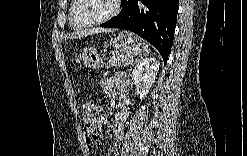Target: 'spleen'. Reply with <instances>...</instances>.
<instances>
[{
  "instance_id": "1",
  "label": "spleen",
  "mask_w": 247,
  "mask_h": 156,
  "mask_svg": "<svg viewBox=\"0 0 247 156\" xmlns=\"http://www.w3.org/2000/svg\"><path fill=\"white\" fill-rule=\"evenodd\" d=\"M142 49L145 55H148L150 53V49L148 48V45L146 43L142 44Z\"/></svg>"
}]
</instances>
